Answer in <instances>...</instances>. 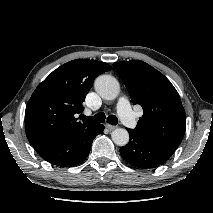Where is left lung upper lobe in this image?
Listing matches in <instances>:
<instances>
[{
	"instance_id": "1",
	"label": "left lung upper lobe",
	"mask_w": 213,
	"mask_h": 213,
	"mask_svg": "<svg viewBox=\"0 0 213 213\" xmlns=\"http://www.w3.org/2000/svg\"><path fill=\"white\" fill-rule=\"evenodd\" d=\"M113 66L132 102L144 111L134 131L149 142L176 149L185 133L186 114L171 82L140 60L115 62Z\"/></svg>"
}]
</instances>
